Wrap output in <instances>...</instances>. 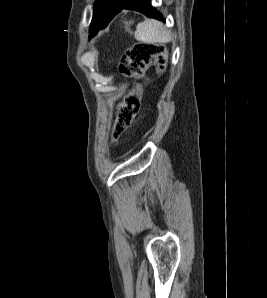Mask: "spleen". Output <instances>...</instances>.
Wrapping results in <instances>:
<instances>
[{
    "mask_svg": "<svg viewBox=\"0 0 267 298\" xmlns=\"http://www.w3.org/2000/svg\"><path fill=\"white\" fill-rule=\"evenodd\" d=\"M134 37L137 41L155 44L168 43L172 40V34L164 25L154 19H146L137 25Z\"/></svg>",
    "mask_w": 267,
    "mask_h": 298,
    "instance_id": "spleen-1",
    "label": "spleen"
}]
</instances>
